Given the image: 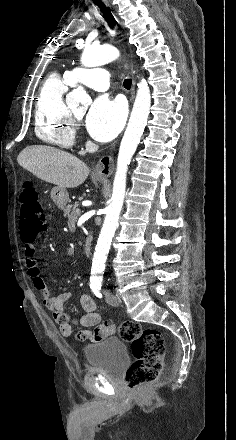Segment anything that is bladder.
<instances>
[{"instance_id":"obj_1","label":"bladder","mask_w":236,"mask_h":440,"mask_svg":"<svg viewBox=\"0 0 236 440\" xmlns=\"http://www.w3.org/2000/svg\"><path fill=\"white\" fill-rule=\"evenodd\" d=\"M84 356L90 370L110 377L118 376L129 360L126 343L117 337H107L86 345Z\"/></svg>"}]
</instances>
